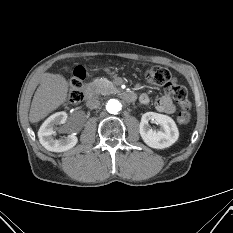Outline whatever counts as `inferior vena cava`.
<instances>
[{
    "label": "inferior vena cava",
    "instance_id": "602c4592",
    "mask_svg": "<svg viewBox=\"0 0 233 233\" xmlns=\"http://www.w3.org/2000/svg\"><path fill=\"white\" fill-rule=\"evenodd\" d=\"M86 106L90 109H96L100 106V101L98 100L97 97H92V98H89L87 101H86Z\"/></svg>",
    "mask_w": 233,
    "mask_h": 233
}]
</instances>
